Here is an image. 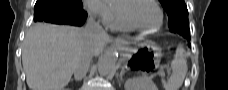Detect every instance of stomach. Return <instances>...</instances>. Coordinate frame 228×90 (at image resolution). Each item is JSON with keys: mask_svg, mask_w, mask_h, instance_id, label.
Masks as SVG:
<instances>
[{"mask_svg": "<svg viewBox=\"0 0 228 90\" xmlns=\"http://www.w3.org/2000/svg\"><path fill=\"white\" fill-rule=\"evenodd\" d=\"M124 51L131 55L129 64L143 70H152L160 64L161 49L154 42L146 40L139 45L137 49H131L127 43L122 42Z\"/></svg>", "mask_w": 228, "mask_h": 90, "instance_id": "obj_1", "label": "stomach"}]
</instances>
